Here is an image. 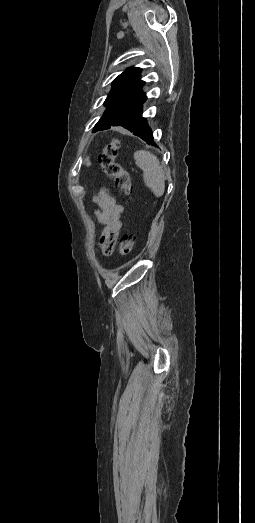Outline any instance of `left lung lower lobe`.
Listing matches in <instances>:
<instances>
[{
	"label": "left lung lower lobe",
	"instance_id": "0a47b994",
	"mask_svg": "<svg viewBox=\"0 0 255 523\" xmlns=\"http://www.w3.org/2000/svg\"><path fill=\"white\" fill-rule=\"evenodd\" d=\"M147 132H152V130H147ZM141 137H142V140H145L144 141V144L146 146H152L153 144H155V137H158V134H139V137H138V140H141ZM162 148V145L161 144H156V149H161Z\"/></svg>",
	"mask_w": 255,
	"mask_h": 523
}]
</instances>
